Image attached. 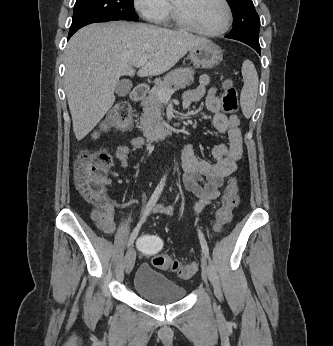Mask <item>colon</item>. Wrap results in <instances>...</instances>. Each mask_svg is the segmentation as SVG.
<instances>
[{"label": "colon", "mask_w": 333, "mask_h": 346, "mask_svg": "<svg viewBox=\"0 0 333 346\" xmlns=\"http://www.w3.org/2000/svg\"><path fill=\"white\" fill-rule=\"evenodd\" d=\"M223 110L228 114L238 111V93L230 81L223 86L221 96ZM131 107L126 102L114 106L106 117L102 127L105 131H126L132 126ZM112 165V157L105 150L84 151L79 154L74 167V178L78 192L89 203L101 204L105 200L107 188L106 174ZM239 203L238 183L235 178L228 181L222 196V204L215 214V230L219 231L232 219V212ZM161 233L137 235L138 253L141 256H154L152 264L162 270H171L184 279L191 278L198 269L194 262L179 263L169 255L159 254L164 251ZM158 251V252H157ZM157 253L159 255H157Z\"/></svg>", "instance_id": "5ec220e1"}]
</instances>
